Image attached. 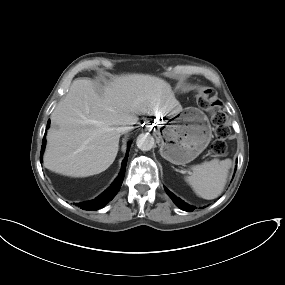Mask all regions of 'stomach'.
<instances>
[{
  "instance_id": "obj_1",
  "label": "stomach",
  "mask_w": 285,
  "mask_h": 285,
  "mask_svg": "<svg viewBox=\"0 0 285 285\" xmlns=\"http://www.w3.org/2000/svg\"><path fill=\"white\" fill-rule=\"evenodd\" d=\"M156 133L161 141V156L175 165L194 160L212 138L207 116L194 107L163 117L157 122Z\"/></svg>"
}]
</instances>
